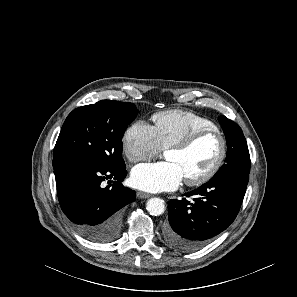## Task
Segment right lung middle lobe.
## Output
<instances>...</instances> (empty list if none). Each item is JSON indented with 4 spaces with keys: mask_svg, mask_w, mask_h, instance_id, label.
<instances>
[{
    "mask_svg": "<svg viewBox=\"0 0 297 297\" xmlns=\"http://www.w3.org/2000/svg\"><path fill=\"white\" fill-rule=\"evenodd\" d=\"M137 113L133 103L113 100L73 110L62 126L53 157L83 158L108 168L125 167L122 137Z\"/></svg>",
    "mask_w": 297,
    "mask_h": 297,
    "instance_id": "dd1d6c3e",
    "label": "right lung middle lobe"
}]
</instances>
